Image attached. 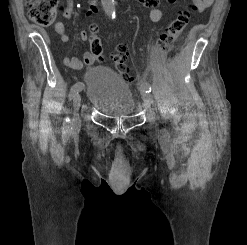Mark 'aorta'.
<instances>
[{
	"label": "aorta",
	"mask_w": 247,
	"mask_h": 245,
	"mask_svg": "<svg viewBox=\"0 0 247 245\" xmlns=\"http://www.w3.org/2000/svg\"><path fill=\"white\" fill-rule=\"evenodd\" d=\"M106 14L112 19L116 18L115 0H102Z\"/></svg>",
	"instance_id": "obj_1"
}]
</instances>
